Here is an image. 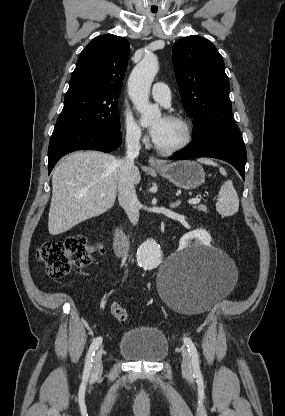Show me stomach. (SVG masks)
I'll return each mask as SVG.
<instances>
[{"label":"stomach","mask_w":285,"mask_h":416,"mask_svg":"<svg viewBox=\"0 0 285 416\" xmlns=\"http://www.w3.org/2000/svg\"><path fill=\"white\" fill-rule=\"evenodd\" d=\"M160 176L167 178L169 182L175 184L177 188L183 190H195L201 186L205 180V172L197 162H190V160H181V162H174V164H161L156 166Z\"/></svg>","instance_id":"0dacf381"}]
</instances>
